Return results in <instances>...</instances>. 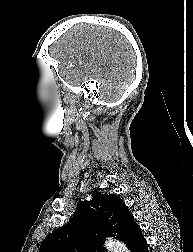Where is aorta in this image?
Returning a JSON list of instances; mask_svg holds the SVG:
<instances>
[{"instance_id":"obj_1","label":"aorta","mask_w":193,"mask_h":252,"mask_svg":"<svg viewBox=\"0 0 193 252\" xmlns=\"http://www.w3.org/2000/svg\"><path fill=\"white\" fill-rule=\"evenodd\" d=\"M105 245L109 252H129L128 248L124 243L118 240H114L112 238H108L105 241Z\"/></svg>"}]
</instances>
